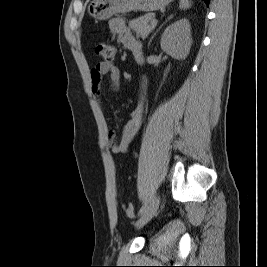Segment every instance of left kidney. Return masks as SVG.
I'll list each match as a JSON object with an SVG mask.
<instances>
[{"label":"left kidney","mask_w":267,"mask_h":267,"mask_svg":"<svg viewBox=\"0 0 267 267\" xmlns=\"http://www.w3.org/2000/svg\"><path fill=\"white\" fill-rule=\"evenodd\" d=\"M160 45L174 59H185L192 45L189 21L184 18L169 25L161 36Z\"/></svg>","instance_id":"obj_1"}]
</instances>
